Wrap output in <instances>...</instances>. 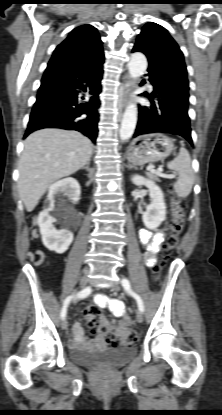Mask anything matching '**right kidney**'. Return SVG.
Here are the masks:
<instances>
[{
    "label": "right kidney",
    "mask_w": 222,
    "mask_h": 415,
    "mask_svg": "<svg viewBox=\"0 0 222 415\" xmlns=\"http://www.w3.org/2000/svg\"><path fill=\"white\" fill-rule=\"evenodd\" d=\"M80 185L74 178L59 180L49 187L47 196L48 206L40 212L38 225L42 236V242L46 248L58 254L64 253L73 241V233L69 230H57L54 226L57 219L65 215L64 209L55 210V198L67 196L73 204L80 200Z\"/></svg>",
    "instance_id": "obj_1"
}]
</instances>
